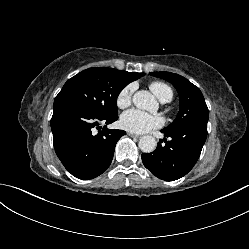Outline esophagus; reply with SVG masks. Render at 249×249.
<instances>
[{"mask_svg": "<svg viewBox=\"0 0 249 249\" xmlns=\"http://www.w3.org/2000/svg\"><path fill=\"white\" fill-rule=\"evenodd\" d=\"M127 135L130 136V137H136V138L140 137L139 135L131 133V132H128Z\"/></svg>", "mask_w": 249, "mask_h": 249, "instance_id": "1", "label": "esophagus"}]
</instances>
